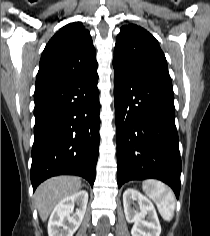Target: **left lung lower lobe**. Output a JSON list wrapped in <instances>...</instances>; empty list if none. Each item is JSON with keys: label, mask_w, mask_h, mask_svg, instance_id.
Masks as SVG:
<instances>
[{"label": "left lung lower lobe", "mask_w": 210, "mask_h": 236, "mask_svg": "<svg viewBox=\"0 0 210 236\" xmlns=\"http://www.w3.org/2000/svg\"><path fill=\"white\" fill-rule=\"evenodd\" d=\"M117 182L155 178L180 193L181 158L172 84L114 74Z\"/></svg>", "instance_id": "left-lung-lower-lobe-1"}]
</instances>
